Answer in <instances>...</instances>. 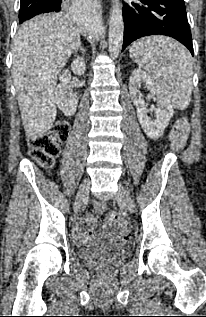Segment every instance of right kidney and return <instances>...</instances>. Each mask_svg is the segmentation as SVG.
I'll list each match as a JSON object with an SVG mask.
<instances>
[{"instance_id": "obj_1", "label": "right kidney", "mask_w": 206, "mask_h": 317, "mask_svg": "<svg viewBox=\"0 0 206 317\" xmlns=\"http://www.w3.org/2000/svg\"><path fill=\"white\" fill-rule=\"evenodd\" d=\"M72 71L77 75H83L86 66L84 59L77 56L71 64ZM60 82L55 90V100L58 108L64 113L65 116H72L76 112L78 104V96L73 93L68 83L71 80V73L64 70L59 77Z\"/></svg>"}]
</instances>
